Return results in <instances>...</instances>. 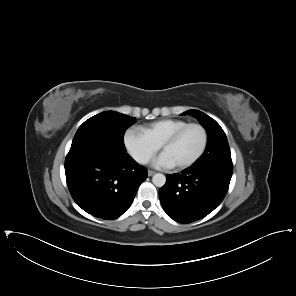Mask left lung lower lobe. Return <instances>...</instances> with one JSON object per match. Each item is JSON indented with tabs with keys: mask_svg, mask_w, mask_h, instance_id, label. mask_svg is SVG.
<instances>
[{
	"mask_svg": "<svg viewBox=\"0 0 296 296\" xmlns=\"http://www.w3.org/2000/svg\"><path fill=\"white\" fill-rule=\"evenodd\" d=\"M232 164L198 166L167 175L159 197L165 212L175 221L190 223L212 212L225 197Z\"/></svg>",
	"mask_w": 296,
	"mask_h": 296,
	"instance_id": "obj_1",
	"label": "left lung lower lobe"
}]
</instances>
